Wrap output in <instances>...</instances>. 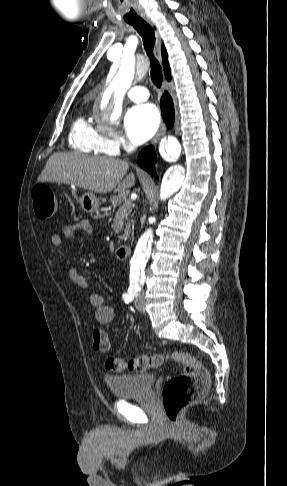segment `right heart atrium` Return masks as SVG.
<instances>
[{
	"label": "right heart atrium",
	"instance_id": "1",
	"mask_svg": "<svg viewBox=\"0 0 287 486\" xmlns=\"http://www.w3.org/2000/svg\"><path fill=\"white\" fill-rule=\"evenodd\" d=\"M130 146L124 140L123 137L119 135H110L108 137H103L102 148L108 154H116L121 148H129Z\"/></svg>",
	"mask_w": 287,
	"mask_h": 486
}]
</instances>
